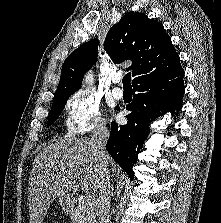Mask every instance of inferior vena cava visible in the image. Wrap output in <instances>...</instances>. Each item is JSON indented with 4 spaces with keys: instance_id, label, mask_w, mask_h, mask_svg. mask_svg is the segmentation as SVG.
Masks as SVG:
<instances>
[{
    "instance_id": "inferior-vena-cava-1",
    "label": "inferior vena cava",
    "mask_w": 221,
    "mask_h": 223,
    "mask_svg": "<svg viewBox=\"0 0 221 223\" xmlns=\"http://www.w3.org/2000/svg\"><path fill=\"white\" fill-rule=\"evenodd\" d=\"M109 138V130L105 123H100L96 126L92 141L95 145V151L99 159L100 180H99V196L97 201V213L99 223H106L109 219L110 211V195L111 185L108 169V155L106 152V143Z\"/></svg>"
}]
</instances>
